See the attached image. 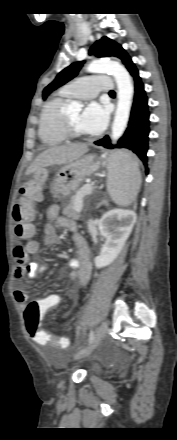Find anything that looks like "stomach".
<instances>
[{
  "mask_svg": "<svg viewBox=\"0 0 177 440\" xmlns=\"http://www.w3.org/2000/svg\"><path fill=\"white\" fill-rule=\"evenodd\" d=\"M118 158H120L119 152L112 154L109 158V166ZM99 167L100 161L94 155H85L60 167L51 183V194L58 199L70 196L81 182L96 172ZM43 170V168H40L35 171V178H38Z\"/></svg>",
  "mask_w": 177,
  "mask_h": 440,
  "instance_id": "1",
  "label": "stomach"
}]
</instances>
